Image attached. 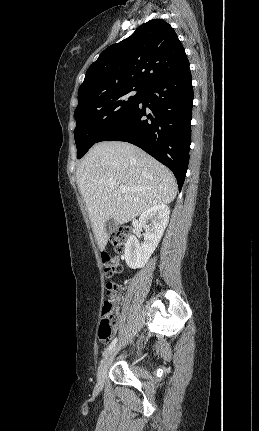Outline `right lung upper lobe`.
<instances>
[{"label": "right lung upper lobe", "mask_w": 259, "mask_h": 431, "mask_svg": "<svg viewBox=\"0 0 259 431\" xmlns=\"http://www.w3.org/2000/svg\"><path fill=\"white\" fill-rule=\"evenodd\" d=\"M188 65L173 28L161 19L150 20L100 54L80 85L78 102L119 88L146 89Z\"/></svg>", "instance_id": "right-lung-upper-lobe-1"}]
</instances>
